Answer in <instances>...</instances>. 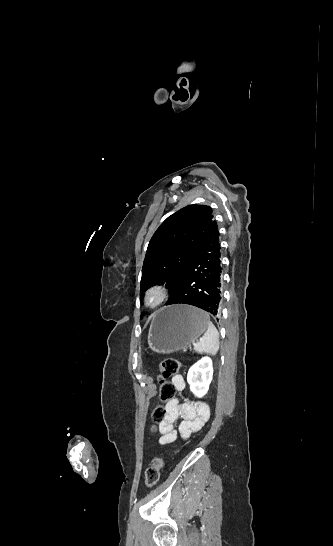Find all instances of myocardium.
<instances>
[{
    "instance_id": "f54148a6",
    "label": "myocardium",
    "mask_w": 333,
    "mask_h": 546,
    "mask_svg": "<svg viewBox=\"0 0 333 546\" xmlns=\"http://www.w3.org/2000/svg\"><path fill=\"white\" fill-rule=\"evenodd\" d=\"M169 294L166 286L160 283L152 284L145 292L144 301L147 306L158 307L165 302Z\"/></svg>"
}]
</instances>
